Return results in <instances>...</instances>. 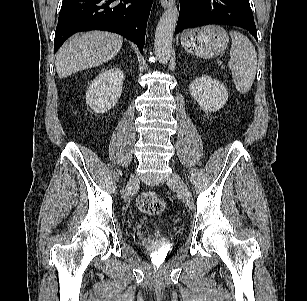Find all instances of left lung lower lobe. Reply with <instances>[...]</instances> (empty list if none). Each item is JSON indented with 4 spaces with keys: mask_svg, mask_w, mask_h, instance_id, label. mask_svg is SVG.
Listing matches in <instances>:
<instances>
[{
    "mask_svg": "<svg viewBox=\"0 0 307 301\" xmlns=\"http://www.w3.org/2000/svg\"><path fill=\"white\" fill-rule=\"evenodd\" d=\"M180 4L175 33L189 27L225 24L242 27L257 40L249 0H180Z\"/></svg>",
    "mask_w": 307,
    "mask_h": 301,
    "instance_id": "obj_1",
    "label": "left lung lower lobe"
}]
</instances>
